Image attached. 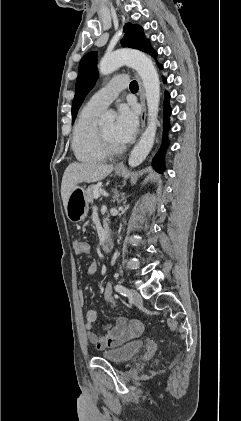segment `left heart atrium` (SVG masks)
<instances>
[{
  "label": "left heart atrium",
  "instance_id": "1",
  "mask_svg": "<svg viewBox=\"0 0 241 421\" xmlns=\"http://www.w3.org/2000/svg\"><path fill=\"white\" fill-rule=\"evenodd\" d=\"M138 115L133 106L120 104L115 123V138L120 144L130 142L136 134Z\"/></svg>",
  "mask_w": 241,
  "mask_h": 421
}]
</instances>
